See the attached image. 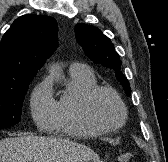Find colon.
Returning a JSON list of instances; mask_svg holds the SVG:
<instances>
[{
  "label": "colon",
  "mask_w": 168,
  "mask_h": 162,
  "mask_svg": "<svg viewBox=\"0 0 168 162\" xmlns=\"http://www.w3.org/2000/svg\"><path fill=\"white\" fill-rule=\"evenodd\" d=\"M119 162H133L130 154H122L118 157Z\"/></svg>",
  "instance_id": "5ec220e1"
}]
</instances>
